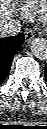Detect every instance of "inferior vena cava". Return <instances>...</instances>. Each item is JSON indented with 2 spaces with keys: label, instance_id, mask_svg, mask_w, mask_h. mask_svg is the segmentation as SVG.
Masks as SVG:
<instances>
[{
  "label": "inferior vena cava",
  "instance_id": "602c4592",
  "mask_svg": "<svg viewBox=\"0 0 47 129\" xmlns=\"http://www.w3.org/2000/svg\"><path fill=\"white\" fill-rule=\"evenodd\" d=\"M20 29H21L20 21L15 19H10L0 25V36L7 37V36L17 35L20 32Z\"/></svg>",
  "mask_w": 47,
  "mask_h": 129
}]
</instances>
